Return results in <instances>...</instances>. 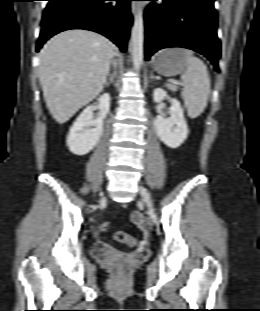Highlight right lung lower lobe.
I'll return each instance as SVG.
<instances>
[{"label": "right lung lower lobe", "mask_w": 260, "mask_h": 311, "mask_svg": "<svg viewBox=\"0 0 260 311\" xmlns=\"http://www.w3.org/2000/svg\"><path fill=\"white\" fill-rule=\"evenodd\" d=\"M36 51L53 35L69 29L98 32L126 50L132 25L131 0H48Z\"/></svg>", "instance_id": "obj_1"}]
</instances>
